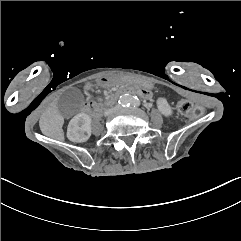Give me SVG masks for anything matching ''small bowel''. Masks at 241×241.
<instances>
[{
  "label": "small bowel",
  "instance_id": "1",
  "mask_svg": "<svg viewBox=\"0 0 241 241\" xmlns=\"http://www.w3.org/2000/svg\"><path fill=\"white\" fill-rule=\"evenodd\" d=\"M98 83L100 85L108 86V85H110L111 80H110V78L105 77V78L100 79L98 81ZM90 89H91V83H86V87H83V92H86V98H87L85 101L84 110L87 113L92 112L93 106H94L93 95L91 94Z\"/></svg>",
  "mask_w": 241,
  "mask_h": 241
}]
</instances>
